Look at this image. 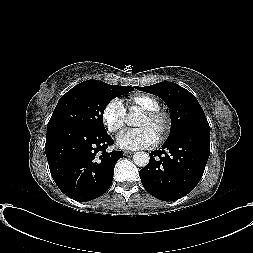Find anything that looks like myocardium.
Here are the masks:
<instances>
[{"label":"myocardium","instance_id":"obj_1","mask_svg":"<svg viewBox=\"0 0 253 253\" xmlns=\"http://www.w3.org/2000/svg\"><path fill=\"white\" fill-rule=\"evenodd\" d=\"M143 115L159 125L158 137L160 140H164L169 135L172 129V118L168 112L162 109L146 110L143 111Z\"/></svg>","mask_w":253,"mask_h":253}]
</instances>
